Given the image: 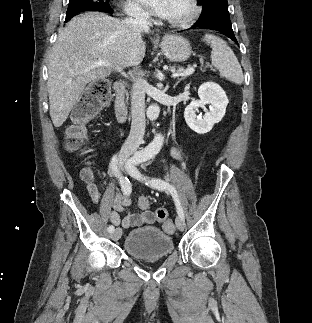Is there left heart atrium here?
<instances>
[{"mask_svg": "<svg viewBox=\"0 0 312 323\" xmlns=\"http://www.w3.org/2000/svg\"><path fill=\"white\" fill-rule=\"evenodd\" d=\"M142 8H154L155 12H171L170 0H137Z\"/></svg>", "mask_w": 312, "mask_h": 323, "instance_id": "1", "label": "left heart atrium"}]
</instances>
